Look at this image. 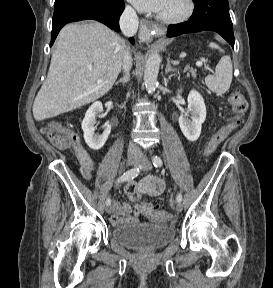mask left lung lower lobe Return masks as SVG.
<instances>
[{"mask_svg": "<svg viewBox=\"0 0 273 288\" xmlns=\"http://www.w3.org/2000/svg\"><path fill=\"white\" fill-rule=\"evenodd\" d=\"M195 8L187 22L169 25V37L184 33L215 31L234 48L233 25L228 0H193Z\"/></svg>", "mask_w": 273, "mask_h": 288, "instance_id": "1", "label": "left lung lower lobe"}]
</instances>
